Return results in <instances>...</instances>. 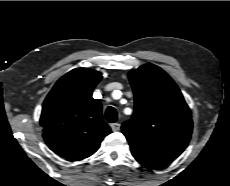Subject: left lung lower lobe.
I'll use <instances>...</instances> for the list:
<instances>
[{
  "mask_svg": "<svg viewBox=\"0 0 230 186\" xmlns=\"http://www.w3.org/2000/svg\"><path fill=\"white\" fill-rule=\"evenodd\" d=\"M134 157L142 165H144L146 167H149V168H156V167H161V166L166 165V163H163V162H158V161H153V160L138 158L136 156H134Z\"/></svg>",
  "mask_w": 230,
  "mask_h": 186,
  "instance_id": "obj_1",
  "label": "left lung lower lobe"
}]
</instances>
